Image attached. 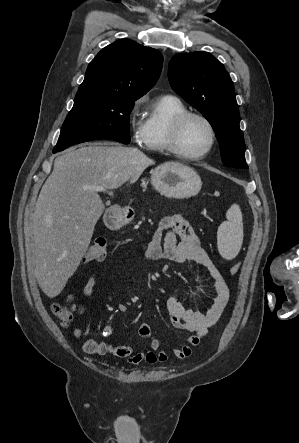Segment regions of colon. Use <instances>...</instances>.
<instances>
[{
  "label": "colon",
  "mask_w": 299,
  "mask_h": 443,
  "mask_svg": "<svg viewBox=\"0 0 299 443\" xmlns=\"http://www.w3.org/2000/svg\"><path fill=\"white\" fill-rule=\"evenodd\" d=\"M108 253V241L104 238L93 241L85 255L86 262H97L104 260ZM240 270V264L234 263L230 267L231 274L235 275ZM53 313L58 316L64 326H69L73 320V314L66 302H55L52 305Z\"/></svg>",
  "instance_id": "obj_1"
}]
</instances>
